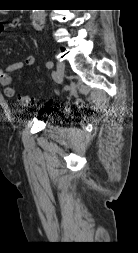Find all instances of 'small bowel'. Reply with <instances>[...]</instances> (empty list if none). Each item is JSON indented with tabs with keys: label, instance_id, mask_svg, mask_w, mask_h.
<instances>
[{
	"label": "small bowel",
	"instance_id": "obj_1",
	"mask_svg": "<svg viewBox=\"0 0 138 253\" xmlns=\"http://www.w3.org/2000/svg\"><path fill=\"white\" fill-rule=\"evenodd\" d=\"M3 29V24L0 23V32ZM35 63L33 55L26 56L24 61L13 62L5 67L0 66V84L3 86L6 97H14L16 95V88L12 84L11 74L14 71L22 69L25 65L32 66Z\"/></svg>",
	"mask_w": 138,
	"mask_h": 253
}]
</instances>
